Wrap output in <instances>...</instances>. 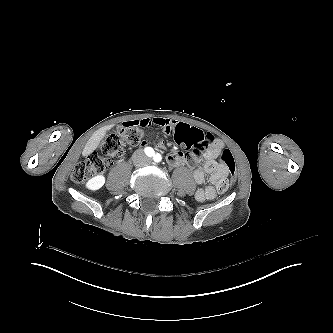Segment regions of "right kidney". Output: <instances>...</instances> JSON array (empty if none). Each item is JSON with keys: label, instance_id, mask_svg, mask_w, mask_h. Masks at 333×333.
<instances>
[{"label": "right kidney", "instance_id": "1", "mask_svg": "<svg viewBox=\"0 0 333 333\" xmlns=\"http://www.w3.org/2000/svg\"><path fill=\"white\" fill-rule=\"evenodd\" d=\"M105 184V177L103 175H97L86 183V188L89 190H98Z\"/></svg>", "mask_w": 333, "mask_h": 333}]
</instances>
